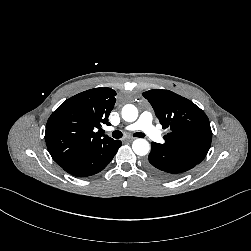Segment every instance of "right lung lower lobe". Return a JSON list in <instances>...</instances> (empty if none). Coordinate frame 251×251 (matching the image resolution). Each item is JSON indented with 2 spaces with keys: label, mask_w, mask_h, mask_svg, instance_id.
Here are the masks:
<instances>
[{
  "label": "right lung lower lobe",
  "mask_w": 251,
  "mask_h": 251,
  "mask_svg": "<svg viewBox=\"0 0 251 251\" xmlns=\"http://www.w3.org/2000/svg\"><path fill=\"white\" fill-rule=\"evenodd\" d=\"M122 145L120 140H113L110 143L98 146L84 157L79 158L62 168L69 174L76 177H87L103 170L113 159L118 148Z\"/></svg>",
  "instance_id": "1"
}]
</instances>
